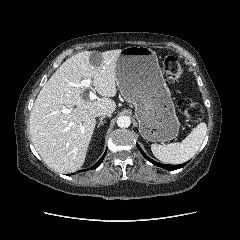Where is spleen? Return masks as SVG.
Masks as SVG:
<instances>
[{"mask_svg": "<svg viewBox=\"0 0 240 240\" xmlns=\"http://www.w3.org/2000/svg\"><path fill=\"white\" fill-rule=\"evenodd\" d=\"M207 132L202 122L182 141L171 144H152L151 151L160 161L168 164H182L191 159L199 150Z\"/></svg>", "mask_w": 240, "mask_h": 240, "instance_id": "obj_1", "label": "spleen"}]
</instances>
